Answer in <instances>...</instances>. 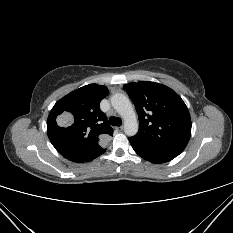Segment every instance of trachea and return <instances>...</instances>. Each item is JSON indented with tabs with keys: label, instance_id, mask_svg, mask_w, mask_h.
Instances as JSON below:
<instances>
[{
	"label": "trachea",
	"instance_id": "3493384b",
	"mask_svg": "<svg viewBox=\"0 0 233 233\" xmlns=\"http://www.w3.org/2000/svg\"><path fill=\"white\" fill-rule=\"evenodd\" d=\"M109 123L112 126H121L122 125V120L119 117L112 116V117L109 118Z\"/></svg>",
	"mask_w": 233,
	"mask_h": 233
}]
</instances>
